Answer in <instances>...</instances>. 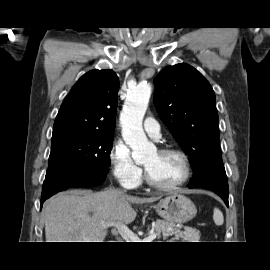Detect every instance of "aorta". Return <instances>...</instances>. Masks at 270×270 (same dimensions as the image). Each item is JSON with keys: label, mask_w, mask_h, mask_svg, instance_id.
Returning a JSON list of instances; mask_svg holds the SVG:
<instances>
[{"label": "aorta", "mask_w": 270, "mask_h": 270, "mask_svg": "<svg viewBox=\"0 0 270 270\" xmlns=\"http://www.w3.org/2000/svg\"><path fill=\"white\" fill-rule=\"evenodd\" d=\"M150 96V84L139 83L128 93L120 114L122 137L132 149V157L135 161H141L156 151L154 144L148 141L142 126Z\"/></svg>", "instance_id": "obj_1"}]
</instances>
